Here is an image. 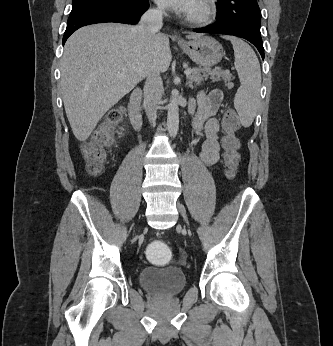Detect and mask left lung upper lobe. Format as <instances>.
Here are the masks:
<instances>
[{
    "label": "left lung upper lobe",
    "instance_id": "left-lung-upper-lobe-1",
    "mask_svg": "<svg viewBox=\"0 0 333 346\" xmlns=\"http://www.w3.org/2000/svg\"><path fill=\"white\" fill-rule=\"evenodd\" d=\"M217 22H238L260 32L261 11L256 0H218Z\"/></svg>",
    "mask_w": 333,
    "mask_h": 346
}]
</instances>
